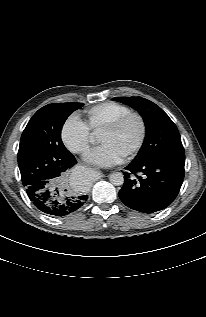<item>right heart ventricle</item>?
I'll use <instances>...</instances> for the list:
<instances>
[{"instance_id":"1","label":"right heart ventricle","mask_w":206,"mask_h":317,"mask_svg":"<svg viewBox=\"0 0 206 317\" xmlns=\"http://www.w3.org/2000/svg\"><path fill=\"white\" fill-rule=\"evenodd\" d=\"M130 111L131 109L125 104L115 101H106L86 109L84 111V121L92 131L98 132L103 130L111 121Z\"/></svg>"}]
</instances>
